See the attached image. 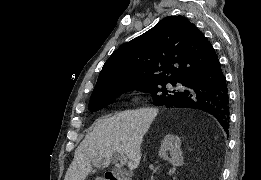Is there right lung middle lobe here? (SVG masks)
Wrapping results in <instances>:
<instances>
[{
    "label": "right lung middle lobe",
    "instance_id": "obj_1",
    "mask_svg": "<svg viewBox=\"0 0 261 180\" xmlns=\"http://www.w3.org/2000/svg\"><path fill=\"white\" fill-rule=\"evenodd\" d=\"M177 82L183 84V81H175V80H166L165 81V80H163V81L143 84V85L119 90L116 92H112L107 95H103L100 97L90 99L88 108L91 112L98 111V110L102 109L105 105H108L109 103H111L116 97L120 96L122 93H125L130 90H134V89L152 93L154 104L160 105L161 103L165 102L168 99L175 97L176 95H178L180 93V91L168 90L166 88L167 83H171L174 86V85H176ZM158 86H161L162 88H158Z\"/></svg>",
    "mask_w": 261,
    "mask_h": 180
}]
</instances>
